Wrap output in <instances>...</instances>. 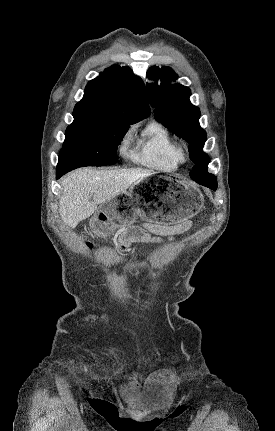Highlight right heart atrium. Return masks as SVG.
I'll use <instances>...</instances> for the list:
<instances>
[{"label": "right heart atrium", "instance_id": "right-heart-atrium-1", "mask_svg": "<svg viewBox=\"0 0 275 431\" xmlns=\"http://www.w3.org/2000/svg\"><path fill=\"white\" fill-rule=\"evenodd\" d=\"M129 139H130L129 135H128V136H126V137L124 138L123 143H122V146H123V147H126V145H127L128 141H129Z\"/></svg>", "mask_w": 275, "mask_h": 431}]
</instances>
